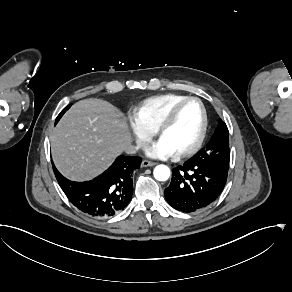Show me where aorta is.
<instances>
[{"label":"aorta","instance_id":"aorta-1","mask_svg":"<svg viewBox=\"0 0 292 292\" xmlns=\"http://www.w3.org/2000/svg\"><path fill=\"white\" fill-rule=\"evenodd\" d=\"M153 175L158 181H166L170 176V169L165 165H158L155 167Z\"/></svg>","mask_w":292,"mask_h":292}]
</instances>
